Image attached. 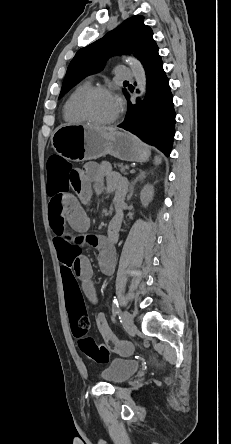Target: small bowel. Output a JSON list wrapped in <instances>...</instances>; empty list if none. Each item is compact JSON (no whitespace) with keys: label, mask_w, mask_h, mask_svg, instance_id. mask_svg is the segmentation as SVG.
<instances>
[{"label":"small bowel","mask_w":231,"mask_h":444,"mask_svg":"<svg viewBox=\"0 0 231 444\" xmlns=\"http://www.w3.org/2000/svg\"><path fill=\"white\" fill-rule=\"evenodd\" d=\"M100 193H115V204L121 207L124 187L121 179L111 173L107 165L87 164L78 176L71 180L72 189L80 200H87L92 189ZM69 189L62 194V200L53 208L49 205V221L54 234V244L61 263V276L65 294L84 293L92 302H96V292L92 284V266L82 253L79 237H74L67 230V225L79 234H86L90 227V218L80 200L70 195ZM117 219L110 222L106 235H85L87 244L98 252V264L105 274H112L116 262L115 244L119 238L122 216L116 213ZM96 326L106 341L116 340L106 316L99 312L95 316Z\"/></svg>","instance_id":"1"}]
</instances>
